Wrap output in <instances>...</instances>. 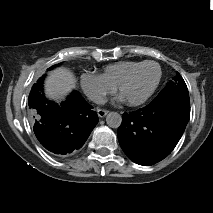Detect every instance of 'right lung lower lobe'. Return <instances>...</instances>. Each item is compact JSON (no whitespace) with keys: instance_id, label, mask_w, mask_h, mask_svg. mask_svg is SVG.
<instances>
[{"instance_id":"right-lung-lower-lobe-1","label":"right lung lower lobe","mask_w":213,"mask_h":213,"mask_svg":"<svg viewBox=\"0 0 213 213\" xmlns=\"http://www.w3.org/2000/svg\"><path fill=\"white\" fill-rule=\"evenodd\" d=\"M28 105L36 137L46 149L56 154L65 155L79 149L98 122L92 106L77 91L60 104L46 99L43 79L33 86Z\"/></svg>"}]
</instances>
